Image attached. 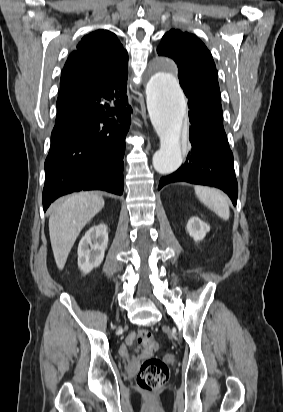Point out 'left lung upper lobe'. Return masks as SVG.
<instances>
[{"label":"left lung upper lobe","mask_w":283,"mask_h":412,"mask_svg":"<svg viewBox=\"0 0 283 412\" xmlns=\"http://www.w3.org/2000/svg\"><path fill=\"white\" fill-rule=\"evenodd\" d=\"M157 52L177 63L179 82L188 100L222 114L216 66L196 36L172 29L163 36Z\"/></svg>","instance_id":"left-lung-upper-lobe-1"}]
</instances>
